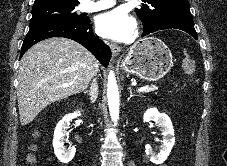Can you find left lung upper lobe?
<instances>
[{"label":"left lung upper lobe","mask_w":227,"mask_h":166,"mask_svg":"<svg viewBox=\"0 0 227 166\" xmlns=\"http://www.w3.org/2000/svg\"><path fill=\"white\" fill-rule=\"evenodd\" d=\"M146 2L150 5L135 9L145 30L155 28L168 18L182 14L191 15L188 0H146Z\"/></svg>","instance_id":"obj_1"}]
</instances>
